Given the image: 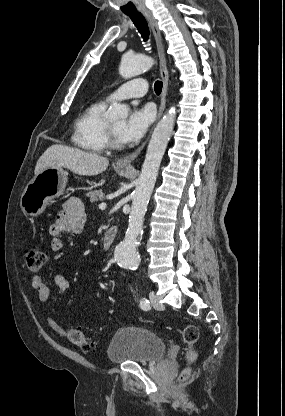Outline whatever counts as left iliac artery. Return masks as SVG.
<instances>
[{
	"label": "left iliac artery",
	"instance_id": "44dca946",
	"mask_svg": "<svg viewBox=\"0 0 285 416\" xmlns=\"http://www.w3.org/2000/svg\"><path fill=\"white\" fill-rule=\"evenodd\" d=\"M140 307L143 310H150V302L148 299H146L145 297H143L140 301Z\"/></svg>",
	"mask_w": 285,
	"mask_h": 416
}]
</instances>
